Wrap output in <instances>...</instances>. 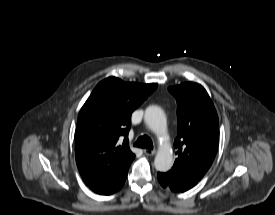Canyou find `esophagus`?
<instances>
[{"label":"esophagus","instance_id":"1","mask_svg":"<svg viewBox=\"0 0 275 215\" xmlns=\"http://www.w3.org/2000/svg\"><path fill=\"white\" fill-rule=\"evenodd\" d=\"M143 153H144L146 156H153V155L156 154V150L144 149V150H143Z\"/></svg>","mask_w":275,"mask_h":215}]
</instances>
